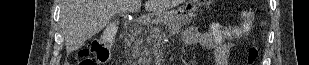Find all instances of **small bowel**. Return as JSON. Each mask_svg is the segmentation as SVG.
Returning a JSON list of instances; mask_svg holds the SVG:
<instances>
[{"label":"small bowel","instance_id":"small-bowel-1","mask_svg":"<svg viewBox=\"0 0 309 65\" xmlns=\"http://www.w3.org/2000/svg\"><path fill=\"white\" fill-rule=\"evenodd\" d=\"M183 40L189 50L197 46L209 49L213 54L214 65H227L229 63L234 46L231 37L213 32H203L195 27H188L184 31Z\"/></svg>","mask_w":309,"mask_h":65}]
</instances>
